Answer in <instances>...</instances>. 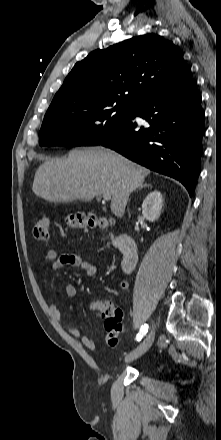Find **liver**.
Listing matches in <instances>:
<instances>
[{
	"label": "liver",
	"instance_id": "1",
	"mask_svg": "<svg viewBox=\"0 0 221 440\" xmlns=\"http://www.w3.org/2000/svg\"><path fill=\"white\" fill-rule=\"evenodd\" d=\"M149 169L102 147L74 149L64 160H46L35 173L32 190L49 202L91 201L109 192L111 211L122 217L130 193L140 186Z\"/></svg>",
	"mask_w": 221,
	"mask_h": 440
}]
</instances>
